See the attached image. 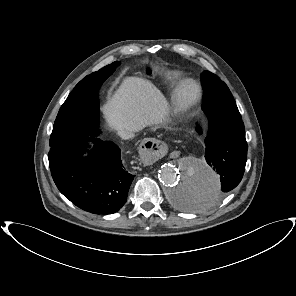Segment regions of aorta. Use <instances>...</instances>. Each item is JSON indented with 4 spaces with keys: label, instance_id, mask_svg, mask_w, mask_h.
Returning <instances> with one entry per match:
<instances>
[{
    "label": "aorta",
    "instance_id": "aorta-1",
    "mask_svg": "<svg viewBox=\"0 0 296 296\" xmlns=\"http://www.w3.org/2000/svg\"><path fill=\"white\" fill-rule=\"evenodd\" d=\"M159 179L166 187L168 201L179 211L203 213L219 202V176L202 160L187 158L178 168L172 164L163 165Z\"/></svg>",
    "mask_w": 296,
    "mask_h": 296
}]
</instances>
